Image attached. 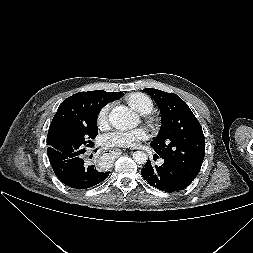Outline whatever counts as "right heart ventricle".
Returning a JSON list of instances; mask_svg holds the SVG:
<instances>
[{"mask_svg": "<svg viewBox=\"0 0 253 253\" xmlns=\"http://www.w3.org/2000/svg\"><path fill=\"white\" fill-rule=\"evenodd\" d=\"M126 100L133 109L141 114H147L153 109L152 99L144 93L137 92L129 94Z\"/></svg>", "mask_w": 253, "mask_h": 253, "instance_id": "obj_1", "label": "right heart ventricle"}]
</instances>
